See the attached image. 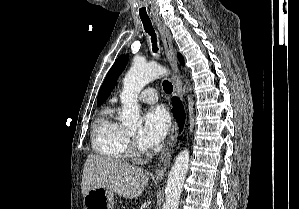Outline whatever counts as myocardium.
Here are the masks:
<instances>
[{"label":"myocardium","mask_w":299,"mask_h":209,"mask_svg":"<svg viewBox=\"0 0 299 209\" xmlns=\"http://www.w3.org/2000/svg\"><path fill=\"white\" fill-rule=\"evenodd\" d=\"M127 153L128 156L134 160H142L147 156L145 148H143L132 135L128 137Z\"/></svg>","instance_id":"f54148a6"}]
</instances>
